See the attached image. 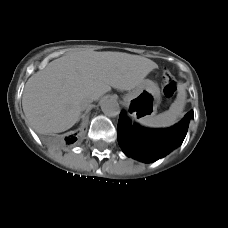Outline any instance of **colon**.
<instances>
[{"label":"colon","mask_w":228,"mask_h":228,"mask_svg":"<svg viewBox=\"0 0 228 228\" xmlns=\"http://www.w3.org/2000/svg\"><path fill=\"white\" fill-rule=\"evenodd\" d=\"M162 76H163V82H164V88H163L164 95L167 98H172L177 91L176 81L169 70H164Z\"/></svg>","instance_id":"5ec220e1"}]
</instances>
